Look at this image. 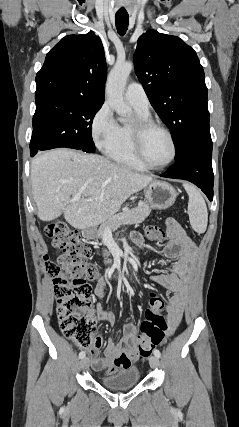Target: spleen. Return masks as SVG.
<instances>
[{
    "mask_svg": "<svg viewBox=\"0 0 239 427\" xmlns=\"http://www.w3.org/2000/svg\"><path fill=\"white\" fill-rule=\"evenodd\" d=\"M188 196V215L190 224L198 234L204 233L208 223V212L206 203L200 192L189 183L183 184Z\"/></svg>",
    "mask_w": 239,
    "mask_h": 427,
    "instance_id": "obj_1",
    "label": "spleen"
}]
</instances>
